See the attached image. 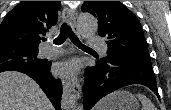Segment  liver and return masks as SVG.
Masks as SVG:
<instances>
[{
	"instance_id": "1",
	"label": "liver",
	"mask_w": 171,
	"mask_h": 110,
	"mask_svg": "<svg viewBox=\"0 0 171 110\" xmlns=\"http://www.w3.org/2000/svg\"><path fill=\"white\" fill-rule=\"evenodd\" d=\"M102 106L103 103L100 102L99 108ZM0 110H54V108L33 79L20 72L7 71L0 73Z\"/></svg>"
}]
</instances>
